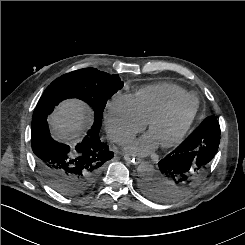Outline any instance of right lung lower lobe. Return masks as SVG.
Segmentation results:
<instances>
[{"instance_id":"obj_1","label":"right lung lower lobe","mask_w":245,"mask_h":245,"mask_svg":"<svg viewBox=\"0 0 245 245\" xmlns=\"http://www.w3.org/2000/svg\"><path fill=\"white\" fill-rule=\"evenodd\" d=\"M54 105L38 104L31 125V145L38 170L44 180L58 193L72 197L91 188L102 165L113 157L109 146L101 142L99 132L89 131L72 146L57 142L50 136L47 117Z\"/></svg>"}]
</instances>
